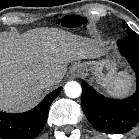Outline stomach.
Here are the masks:
<instances>
[{"mask_svg": "<svg viewBox=\"0 0 139 139\" xmlns=\"http://www.w3.org/2000/svg\"><path fill=\"white\" fill-rule=\"evenodd\" d=\"M86 64L90 65L91 71L94 73L98 82L102 86H107L109 83H111V81L113 80V75L115 73V64L113 62L108 60L89 62L82 64V66L85 67ZM75 65H73V68L75 67Z\"/></svg>", "mask_w": 139, "mask_h": 139, "instance_id": "0dacf381", "label": "stomach"}]
</instances>
